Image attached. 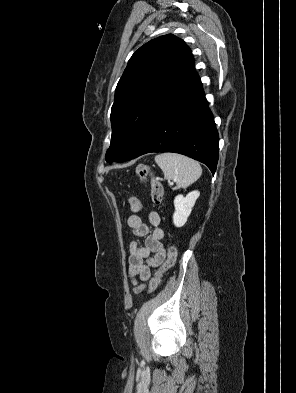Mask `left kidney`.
<instances>
[{
	"label": "left kidney",
	"instance_id": "5707ae66",
	"mask_svg": "<svg viewBox=\"0 0 296 393\" xmlns=\"http://www.w3.org/2000/svg\"><path fill=\"white\" fill-rule=\"evenodd\" d=\"M200 196L199 191H192L186 196L177 195L174 199L175 212L173 214V223L176 227H182L187 222L196 200Z\"/></svg>",
	"mask_w": 296,
	"mask_h": 393
}]
</instances>
